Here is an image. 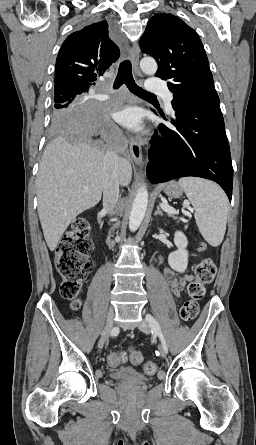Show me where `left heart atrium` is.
<instances>
[{
    "mask_svg": "<svg viewBox=\"0 0 256 445\" xmlns=\"http://www.w3.org/2000/svg\"><path fill=\"white\" fill-rule=\"evenodd\" d=\"M114 118L117 122L132 130L141 129L143 124L141 111L134 106H128L117 110L114 113Z\"/></svg>",
    "mask_w": 256,
    "mask_h": 445,
    "instance_id": "left-heart-atrium-1",
    "label": "left heart atrium"
}]
</instances>
